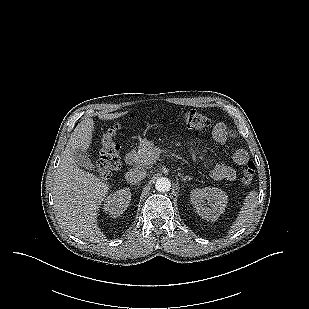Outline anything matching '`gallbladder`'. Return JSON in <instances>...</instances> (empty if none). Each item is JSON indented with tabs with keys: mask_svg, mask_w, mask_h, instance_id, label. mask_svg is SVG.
Wrapping results in <instances>:
<instances>
[{
	"mask_svg": "<svg viewBox=\"0 0 309 309\" xmlns=\"http://www.w3.org/2000/svg\"><path fill=\"white\" fill-rule=\"evenodd\" d=\"M75 162L78 166L86 169V170H93V164L87 154V152L83 149H75L73 151Z\"/></svg>",
	"mask_w": 309,
	"mask_h": 309,
	"instance_id": "obj_1",
	"label": "gallbladder"
}]
</instances>
